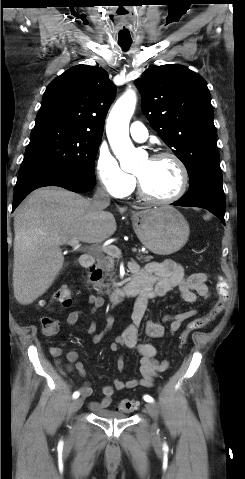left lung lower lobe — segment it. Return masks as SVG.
I'll use <instances>...</instances> for the list:
<instances>
[{
    "mask_svg": "<svg viewBox=\"0 0 245 479\" xmlns=\"http://www.w3.org/2000/svg\"><path fill=\"white\" fill-rule=\"evenodd\" d=\"M172 205L193 206L207 209L225 225V194L222 186V172H208L190 185V190Z\"/></svg>",
    "mask_w": 245,
    "mask_h": 479,
    "instance_id": "left-lung-lower-lobe-1",
    "label": "left lung lower lobe"
}]
</instances>
